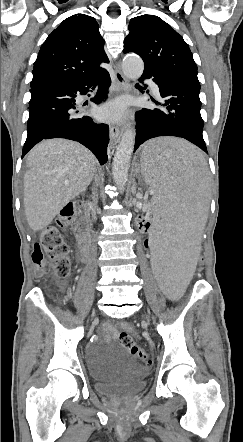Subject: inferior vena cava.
Returning <instances> with one entry per match:
<instances>
[{"instance_id": "obj_1", "label": "inferior vena cava", "mask_w": 243, "mask_h": 442, "mask_svg": "<svg viewBox=\"0 0 243 442\" xmlns=\"http://www.w3.org/2000/svg\"><path fill=\"white\" fill-rule=\"evenodd\" d=\"M93 199H94V202H97V198H96V196H94ZM92 217H93L94 220L96 219V212H95L94 209L92 210Z\"/></svg>"}]
</instances>
